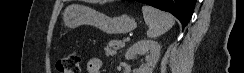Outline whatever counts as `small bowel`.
Masks as SVG:
<instances>
[{"label":"small bowel","mask_w":244,"mask_h":73,"mask_svg":"<svg viewBox=\"0 0 244 73\" xmlns=\"http://www.w3.org/2000/svg\"><path fill=\"white\" fill-rule=\"evenodd\" d=\"M87 73H101V61L97 58H92L87 63Z\"/></svg>","instance_id":"1"}]
</instances>
